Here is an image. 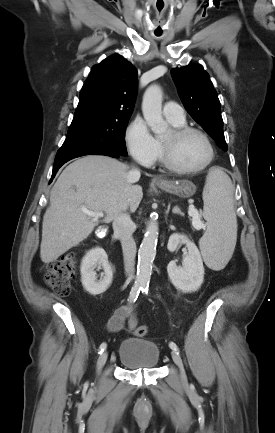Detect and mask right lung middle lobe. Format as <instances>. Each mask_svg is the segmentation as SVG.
I'll return each mask as SVG.
<instances>
[{
    "instance_id": "right-lung-middle-lobe-1",
    "label": "right lung middle lobe",
    "mask_w": 275,
    "mask_h": 433,
    "mask_svg": "<svg viewBox=\"0 0 275 433\" xmlns=\"http://www.w3.org/2000/svg\"><path fill=\"white\" fill-rule=\"evenodd\" d=\"M129 118L114 120L84 118L73 120L55 160L95 152H111L127 156L124 133Z\"/></svg>"
}]
</instances>
